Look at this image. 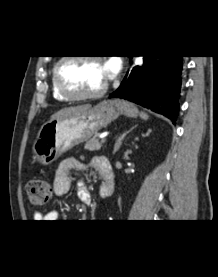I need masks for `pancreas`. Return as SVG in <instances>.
I'll use <instances>...</instances> for the list:
<instances>
[{"instance_id": "obj_1", "label": "pancreas", "mask_w": 218, "mask_h": 277, "mask_svg": "<svg viewBox=\"0 0 218 277\" xmlns=\"http://www.w3.org/2000/svg\"><path fill=\"white\" fill-rule=\"evenodd\" d=\"M101 146L102 144L99 142L98 135H95L86 142L84 149L89 151H99Z\"/></svg>"}]
</instances>
